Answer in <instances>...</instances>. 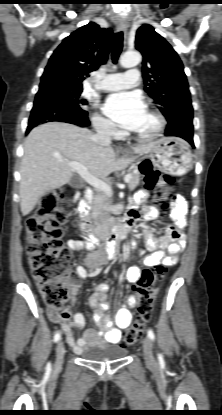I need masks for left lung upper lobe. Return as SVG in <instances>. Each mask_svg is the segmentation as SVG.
Wrapping results in <instances>:
<instances>
[{
	"label": "left lung upper lobe",
	"mask_w": 222,
	"mask_h": 415,
	"mask_svg": "<svg viewBox=\"0 0 222 415\" xmlns=\"http://www.w3.org/2000/svg\"><path fill=\"white\" fill-rule=\"evenodd\" d=\"M135 47L143 55L144 90L153 98L168 122L193 110L182 61L172 46L150 25L136 33Z\"/></svg>",
	"instance_id": "5c2ea615"
}]
</instances>
